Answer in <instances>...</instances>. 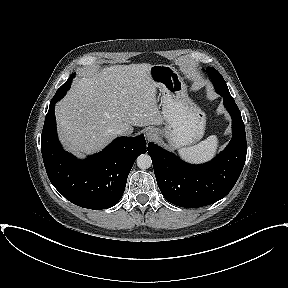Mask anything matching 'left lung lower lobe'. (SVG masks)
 <instances>
[{
  "label": "left lung lower lobe",
  "mask_w": 288,
  "mask_h": 288,
  "mask_svg": "<svg viewBox=\"0 0 288 288\" xmlns=\"http://www.w3.org/2000/svg\"><path fill=\"white\" fill-rule=\"evenodd\" d=\"M232 117L233 136L213 160L192 165L149 143L157 184L171 203L186 208L210 205L224 198L238 180L246 160L247 142L241 113L231 95H221Z\"/></svg>",
  "instance_id": "1"
}]
</instances>
